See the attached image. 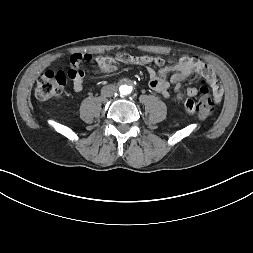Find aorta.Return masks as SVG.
<instances>
[{
    "label": "aorta",
    "mask_w": 253,
    "mask_h": 253,
    "mask_svg": "<svg viewBox=\"0 0 253 253\" xmlns=\"http://www.w3.org/2000/svg\"><path fill=\"white\" fill-rule=\"evenodd\" d=\"M119 90H120L121 94L127 95V94L131 93L132 87L128 86V85H122V86H120Z\"/></svg>",
    "instance_id": "1"
}]
</instances>
